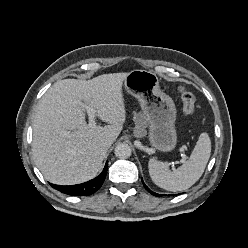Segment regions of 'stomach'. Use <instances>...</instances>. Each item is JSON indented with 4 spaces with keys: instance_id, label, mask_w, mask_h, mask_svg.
<instances>
[{
    "instance_id": "1",
    "label": "stomach",
    "mask_w": 248,
    "mask_h": 248,
    "mask_svg": "<svg viewBox=\"0 0 248 248\" xmlns=\"http://www.w3.org/2000/svg\"><path fill=\"white\" fill-rule=\"evenodd\" d=\"M123 83L140 103L151 145L162 152L173 150L177 144L176 107L172 98L161 91L156 74L136 69L128 73Z\"/></svg>"
}]
</instances>
